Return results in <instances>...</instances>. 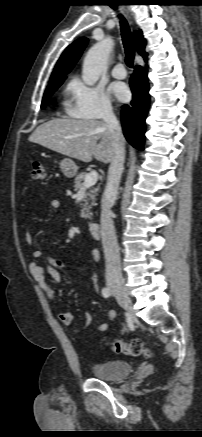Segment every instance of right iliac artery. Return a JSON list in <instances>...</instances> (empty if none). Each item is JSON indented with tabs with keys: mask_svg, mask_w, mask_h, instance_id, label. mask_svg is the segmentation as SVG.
I'll list each match as a JSON object with an SVG mask.
<instances>
[{
	"mask_svg": "<svg viewBox=\"0 0 202 437\" xmlns=\"http://www.w3.org/2000/svg\"><path fill=\"white\" fill-rule=\"evenodd\" d=\"M102 295H103L104 298L110 297V295H111L110 289L107 288V287H104L102 289Z\"/></svg>",
	"mask_w": 202,
	"mask_h": 437,
	"instance_id": "1",
	"label": "right iliac artery"
}]
</instances>
